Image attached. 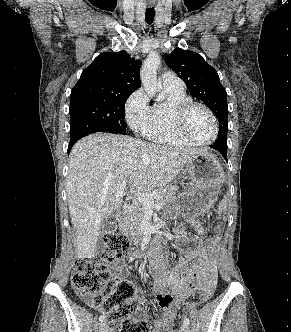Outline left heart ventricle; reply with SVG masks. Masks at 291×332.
<instances>
[{
	"label": "left heart ventricle",
	"instance_id": "left-heart-ventricle-1",
	"mask_svg": "<svg viewBox=\"0 0 291 332\" xmlns=\"http://www.w3.org/2000/svg\"><path fill=\"white\" fill-rule=\"evenodd\" d=\"M187 129L199 141H208L214 135V125L210 116L199 108L192 110L189 114Z\"/></svg>",
	"mask_w": 291,
	"mask_h": 332
}]
</instances>
